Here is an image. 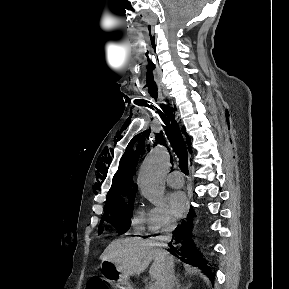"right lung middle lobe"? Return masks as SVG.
<instances>
[{"label":"right lung middle lobe","instance_id":"1","mask_svg":"<svg viewBox=\"0 0 289 289\" xmlns=\"http://www.w3.org/2000/svg\"><path fill=\"white\" fill-rule=\"evenodd\" d=\"M134 198L128 199V201L106 203L105 213L101 219L99 234L103 232L101 224L106 222H113L117 226L118 232H126L131 225L132 207L134 204Z\"/></svg>","mask_w":289,"mask_h":289}]
</instances>
